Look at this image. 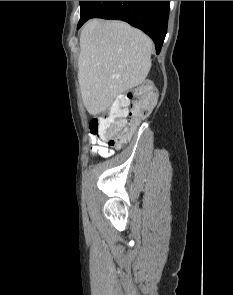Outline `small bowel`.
Segmentation results:
<instances>
[{
    "mask_svg": "<svg viewBox=\"0 0 233 295\" xmlns=\"http://www.w3.org/2000/svg\"><path fill=\"white\" fill-rule=\"evenodd\" d=\"M89 150L93 155L101 157H110L115 152L114 149L109 148L106 143L94 135H91L89 138Z\"/></svg>",
    "mask_w": 233,
    "mask_h": 295,
    "instance_id": "obj_1",
    "label": "small bowel"
}]
</instances>
